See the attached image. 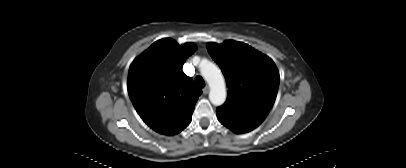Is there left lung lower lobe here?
Returning a JSON list of instances; mask_svg holds the SVG:
<instances>
[{
    "mask_svg": "<svg viewBox=\"0 0 406 168\" xmlns=\"http://www.w3.org/2000/svg\"><path fill=\"white\" fill-rule=\"evenodd\" d=\"M217 118L227 128L235 133H246L261 124L262 121L240 116L217 108Z\"/></svg>",
    "mask_w": 406,
    "mask_h": 168,
    "instance_id": "0a47b994",
    "label": "left lung lower lobe"
}]
</instances>
